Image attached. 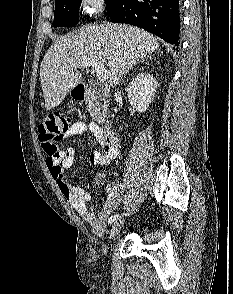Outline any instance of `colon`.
Listing matches in <instances>:
<instances>
[{
  "label": "colon",
  "instance_id": "obj_1",
  "mask_svg": "<svg viewBox=\"0 0 233 294\" xmlns=\"http://www.w3.org/2000/svg\"><path fill=\"white\" fill-rule=\"evenodd\" d=\"M70 126V119L63 116L59 111H49L45 114L39 126V138L49 157L59 158L58 143Z\"/></svg>",
  "mask_w": 233,
  "mask_h": 294
}]
</instances>
